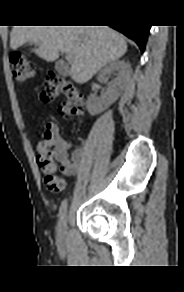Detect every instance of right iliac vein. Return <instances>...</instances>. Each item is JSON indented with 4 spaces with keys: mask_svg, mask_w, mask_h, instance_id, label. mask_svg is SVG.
<instances>
[{
    "mask_svg": "<svg viewBox=\"0 0 184 292\" xmlns=\"http://www.w3.org/2000/svg\"><path fill=\"white\" fill-rule=\"evenodd\" d=\"M67 234V215L60 221L57 231V240L63 242Z\"/></svg>",
    "mask_w": 184,
    "mask_h": 292,
    "instance_id": "obj_1",
    "label": "right iliac vein"
}]
</instances>
